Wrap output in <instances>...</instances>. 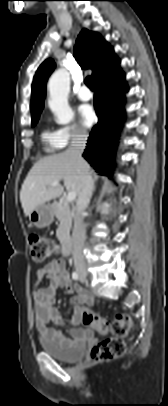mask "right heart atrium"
<instances>
[{"mask_svg": "<svg viewBox=\"0 0 168 406\" xmlns=\"http://www.w3.org/2000/svg\"><path fill=\"white\" fill-rule=\"evenodd\" d=\"M59 139L64 146L87 139V131L78 125H67L58 129Z\"/></svg>", "mask_w": 168, "mask_h": 406, "instance_id": "obj_1", "label": "right heart atrium"}]
</instances>
